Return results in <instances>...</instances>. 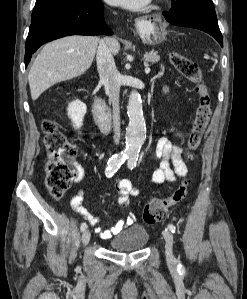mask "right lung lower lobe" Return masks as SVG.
<instances>
[{
	"mask_svg": "<svg viewBox=\"0 0 247 299\" xmlns=\"http://www.w3.org/2000/svg\"><path fill=\"white\" fill-rule=\"evenodd\" d=\"M101 0L67 4L32 21L25 44V66L44 43L69 35H112Z\"/></svg>",
	"mask_w": 247,
	"mask_h": 299,
	"instance_id": "right-lung-lower-lobe-1",
	"label": "right lung lower lobe"
}]
</instances>
